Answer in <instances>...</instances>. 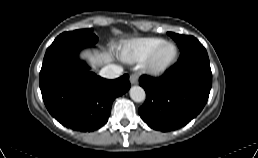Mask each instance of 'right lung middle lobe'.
Segmentation results:
<instances>
[{"label":"right lung middle lobe","mask_w":258,"mask_h":158,"mask_svg":"<svg viewBox=\"0 0 258 158\" xmlns=\"http://www.w3.org/2000/svg\"><path fill=\"white\" fill-rule=\"evenodd\" d=\"M98 37L93 34V29H80L75 31L64 32L60 34L53 43L60 42H82L88 44H95Z\"/></svg>","instance_id":"dd1d6c3e"}]
</instances>
